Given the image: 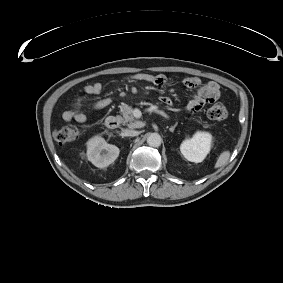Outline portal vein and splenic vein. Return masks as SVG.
<instances>
[{
  "instance_id": "portal-vein-and-splenic-vein-1",
  "label": "portal vein and splenic vein",
  "mask_w": 283,
  "mask_h": 283,
  "mask_svg": "<svg viewBox=\"0 0 283 283\" xmlns=\"http://www.w3.org/2000/svg\"><path fill=\"white\" fill-rule=\"evenodd\" d=\"M146 111L150 113L152 112L157 113L163 116L164 118L169 119V116L164 111L157 109L156 106H150L149 108L146 109ZM138 117H140V115H138Z\"/></svg>"
}]
</instances>
